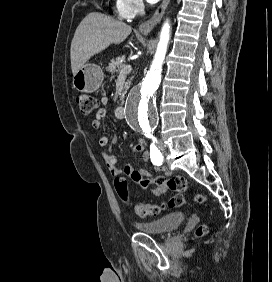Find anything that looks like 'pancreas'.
Returning <instances> with one entry per match:
<instances>
[{
    "instance_id": "1",
    "label": "pancreas",
    "mask_w": 272,
    "mask_h": 282,
    "mask_svg": "<svg viewBox=\"0 0 272 282\" xmlns=\"http://www.w3.org/2000/svg\"><path fill=\"white\" fill-rule=\"evenodd\" d=\"M124 56L117 57L116 59L111 60L106 67V71L110 72L112 75L120 73V71L125 67ZM132 78L128 79L124 85V93L120 96V99L124 98L125 93L131 85Z\"/></svg>"
}]
</instances>
